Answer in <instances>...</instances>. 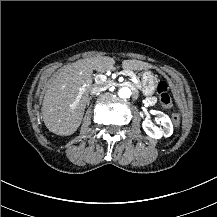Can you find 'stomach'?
I'll return each instance as SVG.
<instances>
[{"mask_svg": "<svg viewBox=\"0 0 217 217\" xmlns=\"http://www.w3.org/2000/svg\"><path fill=\"white\" fill-rule=\"evenodd\" d=\"M158 86V80L150 71H145L141 75V92L144 96H151L155 93Z\"/></svg>", "mask_w": 217, "mask_h": 217, "instance_id": "1", "label": "stomach"}]
</instances>
